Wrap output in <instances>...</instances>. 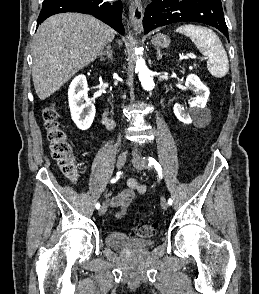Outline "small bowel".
Returning <instances> with one entry per match:
<instances>
[{
	"label": "small bowel",
	"instance_id": "1",
	"mask_svg": "<svg viewBox=\"0 0 259 294\" xmlns=\"http://www.w3.org/2000/svg\"><path fill=\"white\" fill-rule=\"evenodd\" d=\"M126 184L127 188L107 200L108 207L111 209H118L116 213L117 218H121L126 214L128 207L135 197L136 192L142 194L146 191L145 186L140 184L134 178H129Z\"/></svg>",
	"mask_w": 259,
	"mask_h": 294
}]
</instances>
